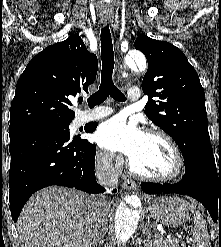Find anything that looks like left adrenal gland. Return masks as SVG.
I'll list each match as a JSON object with an SVG mask.
<instances>
[{"mask_svg": "<svg viewBox=\"0 0 221 247\" xmlns=\"http://www.w3.org/2000/svg\"><path fill=\"white\" fill-rule=\"evenodd\" d=\"M142 233L144 236H146L148 239L151 238V229L149 225V220L145 223L144 227L142 228Z\"/></svg>", "mask_w": 221, "mask_h": 247, "instance_id": "a2214340", "label": "left adrenal gland"}]
</instances>
